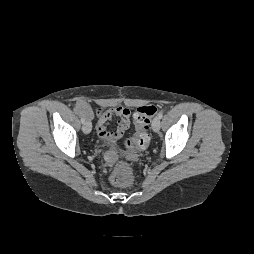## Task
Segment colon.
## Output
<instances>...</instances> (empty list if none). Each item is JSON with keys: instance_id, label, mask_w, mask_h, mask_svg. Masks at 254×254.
<instances>
[{"instance_id": "obj_1", "label": "colon", "mask_w": 254, "mask_h": 254, "mask_svg": "<svg viewBox=\"0 0 254 254\" xmlns=\"http://www.w3.org/2000/svg\"><path fill=\"white\" fill-rule=\"evenodd\" d=\"M156 111L157 108L154 105L142 106L136 109L134 113L136 132L133 138L127 142L129 148L143 149L148 145L150 141L149 127ZM111 180L118 186H127L132 182V172L126 167H119L113 172Z\"/></svg>"}]
</instances>
